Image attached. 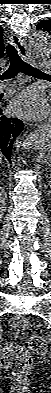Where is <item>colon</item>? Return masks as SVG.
<instances>
[{"mask_svg":"<svg viewBox=\"0 0 51 393\" xmlns=\"http://www.w3.org/2000/svg\"><path fill=\"white\" fill-rule=\"evenodd\" d=\"M28 321L22 316H16L11 320V330L16 337H22L28 329ZM33 355H44L47 351V342L42 336H33L28 343ZM2 365L16 377L24 375L32 365L29 352L21 346L6 347L1 356Z\"/></svg>","mask_w":51,"mask_h":393,"instance_id":"obj_1","label":"colon"}]
</instances>
